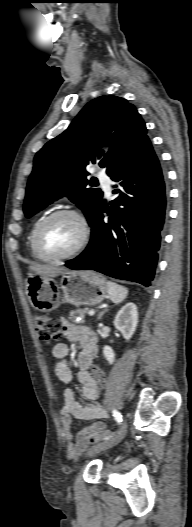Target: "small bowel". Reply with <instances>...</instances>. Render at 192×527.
<instances>
[{"mask_svg": "<svg viewBox=\"0 0 192 527\" xmlns=\"http://www.w3.org/2000/svg\"><path fill=\"white\" fill-rule=\"evenodd\" d=\"M63 325L66 338L71 342H79L83 346L78 355L77 378L87 404H82L77 399L74 390L69 388L64 392V405L60 412L68 457L74 458L87 447L89 441L104 431L105 424L102 421L94 422L91 426L80 431L74 441L70 430L73 418L100 420L106 417V412L99 401V386L89 372L98 351L97 336L93 330L86 326L76 325L66 320L63 321ZM67 355L68 346L64 343H58L52 348V356L55 359V374L65 384H69L73 379L72 371L66 363Z\"/></svg>", "mask_w": 192, "mask_h": 527, "instance_id": "1", "label": "small bowel"}]
</instances>
